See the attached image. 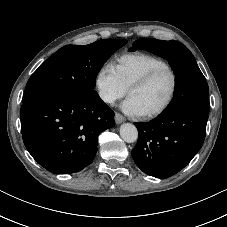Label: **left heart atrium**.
I'll list each match as a JSON object with an SVG mask.
<instances>
[{
  "mask_svg": "<svg viewBox=\"0 0 227 227\" xmlns=\"http://www.w3.org/2000/svg\"><path fill=\"white\" fill-rule=\"evenodd\" d=\"M122 110L132 116H140L143 114L141 109L139 108L138 104L132 97H128L122 104H121Z\"/></svg>",
  "mask_w": 227,
  "mask_h": 227,
  "instance_id": "obj_1",
  "label": "left heart atrium"
}]
</instances>
